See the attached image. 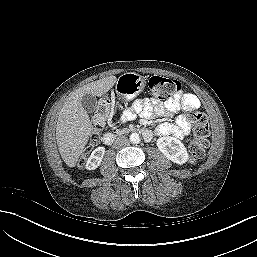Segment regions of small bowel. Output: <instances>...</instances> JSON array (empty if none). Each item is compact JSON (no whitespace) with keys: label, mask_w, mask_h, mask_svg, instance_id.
Masks as SVG:
<instances>
[{"label":"small bowel","mask_w":257,"mask_h":257,"mask_svg":"<svg viewBox=\"0 0 257 257\" xmlns=\"http://www.w3.org/2000/svg\"><path fill=\"white\" fill-rule=\"evenodd\" d=\"M199 107L200 101L194 94L179 91L165 103L149 99H137L130 108L122 112L121 120L127 122L137 115L142 117H151L153 115L168 116L181 109L193 110ZM189 132L190 124L184 116L178 117L174 123L165 122L156 128V134L158 135H173L179 139H183Z\"/></svg>","instance_id":"small-bowel-1"}]
</instances>
